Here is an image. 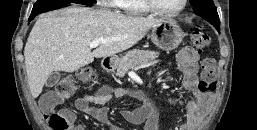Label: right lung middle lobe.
<instances>
[{
  "instance_id": "obj_1",
  "label": "right lung middle lobe",
  "mask_w": 257,
  "mask_h": 130,
  "mask_svg": "<svg viewBox=\"0 0 257 130\" xmlns=\"http://www.w3.org/2000/svg\"><path fill=\"white\" fill-rule=\"evenodd\" d=\"M77 2L79 4L92 6L94 4V0H38L31 12V17L33 18L35 15L48 11L51 9H56L58 7H63L69 3Z\"/></svg>"
}]
</instances>
